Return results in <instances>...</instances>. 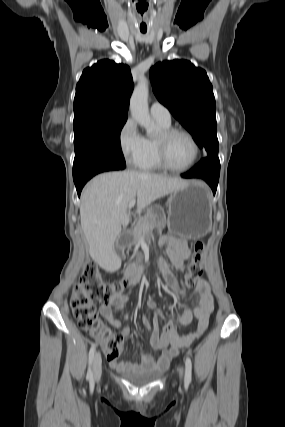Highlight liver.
I'll return each instance as SVG.
<instances>
[{"label": "liver", "mask_w": 285, "mask_h": 427, "mask_svg": "<svg viewBox=\"0 0 285 427\" xmlns=\"http://www.w3.org/2000/svg\"><path fill=\"white\" fill-rule=\"evenodd\" d=\"M180 178L138 171L108 172L94 177L81 194L80 218L89 253L107 267L117 260L113 249L130 220L128 205L137 197V212L155 200L185 187Z\"/></svg>", "instance_id": "liver-1"}]
</instances>
